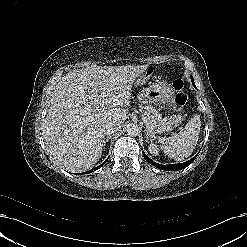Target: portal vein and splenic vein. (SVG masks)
I'll return each instance as SVG.
<instances>
[{
	"label": "portal vein and splenic vein",
	"mask_w": 247,
	"mask_h": 247,
	"mask_svg": "<svg viewBox=\"0 0 247 247\" xmlns=\"http://www.w3.org/2000/svg\"><path fill=\"white\" fill-rule=\"evenodd\" d=\"M100 110H101L100 112H103V111H104V109H100ZM88 118H89L90 120H92V119L94 118V115H89ZM143 119H144L145 125H148V122H147L146 117H144Z\"/></svg>",
	"instance_id": "1"
}]
</instances>
